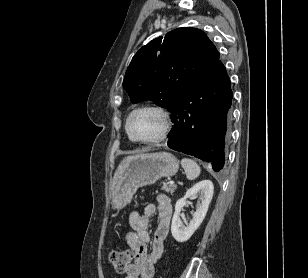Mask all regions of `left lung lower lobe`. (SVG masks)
I'll list each match as a JSON object with an SVG mask.
<instances>
[{
  "instance_id": "left-lung-lower-lobe-1",
  "label": "left lung lower lobe",
  "mask_w": 308,
  "mask_h": 278,
  "mask_svg": "<svg viewBox=\"0 0 308 278\" xmlns=\"http://www.w3.org/2000/svg\"><path fill=\"white\" fill-rule=\"evenodd\" d=\"M233 93L219 60L196 79L170 110L174 126L168 146L211 162L214 171L225 163Z\"/></svg>"
}]
</instances>
